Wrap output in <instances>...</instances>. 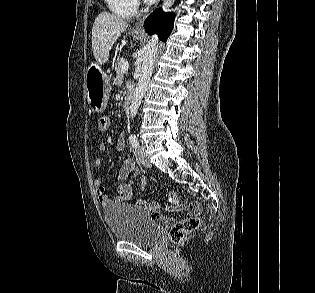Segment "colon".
<instances>
[{
  "label": "colon",
  "instance_id": "1",
  "mask_svg": "<svg viewBox=\"0 0 315 293\" xmlns=\"http://www.w3.org/2000/svg\"><path fill=\"white\" fill-rule=\"evenodd\" d=\"M109 126V119L106 116H101L98 120V127L99 130L104 132L108 129ZM168 199L170 203L175 205L176 207L181 206V197L178 193L176 192H171L168 196ZM201 210V206L199 204H191L189 206V212L192 214H198ZM201 225V220L198 217H187L179 222H176L175 224L172 225L170 229V238L171 241L179 245L183 243L186 239V237L197 230Z\"/></svg>",
  "mask_w": 315,
  "mask_h": 293
}]
</instances>
